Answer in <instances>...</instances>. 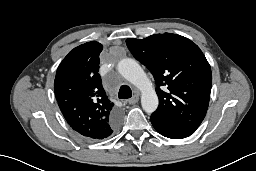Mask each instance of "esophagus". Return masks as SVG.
<instances>
[{
	"label": "esophagus",
	"instance_id": "obj_1",
	"mask_svg": "<svg viewBox=\"0 0 256 171\" xmlns=\"http://www.w3.org/2000/svg\"><path fill=\"white\" fill-rule=\"evenodd\" d=\"M139 100V96L138 95H134L131 99L127 100V102L131 105L137 103Z\"/></svg>",
	"mask_w": 256,
	"mask_h": 171
}]
</instances>
